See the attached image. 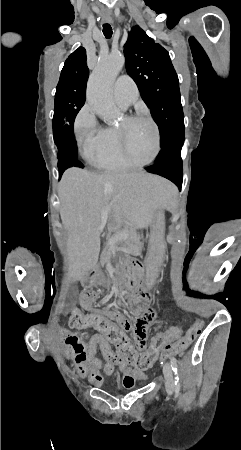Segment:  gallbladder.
Wrapping results in <instances>:
<instances>
[{"mask_svg": "<svg viewBox=\"0 0 241 450\" xmlns=\"http://www.w3.org/2000/svg\"><path fill=\"white\" fill-rule=\"evenodd\" d=\"M77 288L75 286H70L68 288V293L63 302V309L66 310H76L77 309Z\"/></svg>", "mask_w": 241, "mask_h": 450, "instance_id": "gallbladder-1", "label": "gallbladder"}]
</instances>
